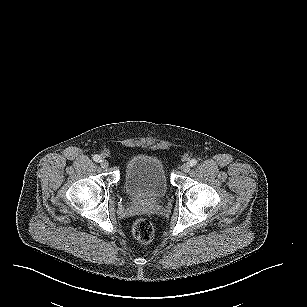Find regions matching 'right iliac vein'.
<instances>
[{
	"mask_svg": "<svg viewBox=\"0 0 307 307\" xmlns=\"http://www.w3.org/2000/svg\"><path fill=\"white\" fill-rule=\"evenodd\" d=\"M100 165H101L102 168L105 169V168H107L109 166V163H108V161L106 159H102L100 161Z\"/></svg>",
	"mask_w": 307,
	"mask_h": 307,
	"instance_id": "1",
	"label": "right iliac vein"
}]
</instances>
